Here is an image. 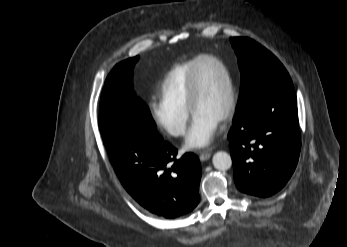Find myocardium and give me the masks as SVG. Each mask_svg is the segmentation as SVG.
I'll return each instance as SVG.
<instances>
[{
  "mask_svg": "<svg viewBox=\"0 0 347 247\" xmlns=\"http://www.w3.org/2000/svg\"><path fill=\"white\" fill-rule=\"evenodd\" d=\"M204 61H213L217 65L221 67L223 70L227 85H228V99H227V106L225 109V112L223 116L220 119L221 123L228 122L235 113L236 108V89L233 77L230 73V70L226 66V64L218 57L213 55H203L199 57L196 64L192 67L189 77V84H188V95H187V105L188 110L192 115H194L195 106L198 99L199 94V78H198V70L202 62Z\"/></svg>",
  "mask_w": 347,
  "mask_h": 247,
  "instance_id": "f54148a6",
  "label": "myocardium"
}]
</instances>
